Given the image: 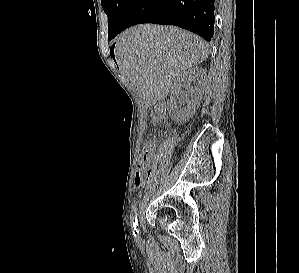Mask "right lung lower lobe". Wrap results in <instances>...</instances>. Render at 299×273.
I'll return each instance as SVG.
<instances>
[{"mask_svg": "<svg viewBox=\"0 0 299 273\" xmlns=\"http://www.w3.org/2000/svg\"><path fill=\"white\" fill-rule=\"evenodd\" d=\"M215 0H134L118 33L139 23L176 25L210 41L214 33Z\"/></svg>", "mask_w": 299, "mask_h": 273, "instance_id": "right-lung-lower-lobe-1", "label": "right lung lower lobe"}]
</instances>
